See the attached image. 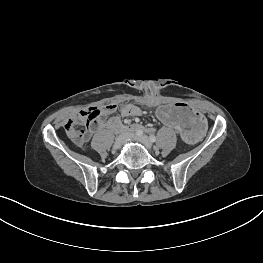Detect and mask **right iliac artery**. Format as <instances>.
<instances>
[{"label":"right iliac artery","mask_w":263,"mask_h":263,"mask_svg":"<svg viewBox=\"0 0 263 263\" xmlns=\"http://www.w3.org/2000/svg\"><path fill=\"white\" fill-rule=\"evenodd\" d=\"M135 133L138 135V136H141L143 134V131L142 130H136Z\"/></svg>","instance_id":"obj_1"}]
</instances>
